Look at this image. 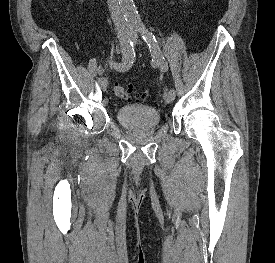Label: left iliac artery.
I'll return each mask as SVG.
<instances>
[{
    "label": "left iliac artery",
    "instance_id": "obj_1",
    "mask_svg": "<svg viewBox=\"0 0 275 263\" xmlns=\"http://www.w3.org/2000/svg\"><path fill=\"white\" fill-rule=\"evenodd\" d=\"M137 31L141 34L143 40L149 47L153 65H157L161 71L166 72L168 70V64L154 34L150 32L145 26H139ZM169 92L175 94L174 89H170Z\"/></svg>",
    "mask_w": 275,
    "mask_h": 263
}]
</instances>
